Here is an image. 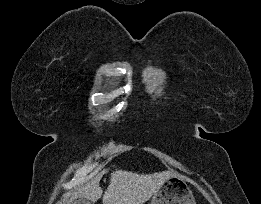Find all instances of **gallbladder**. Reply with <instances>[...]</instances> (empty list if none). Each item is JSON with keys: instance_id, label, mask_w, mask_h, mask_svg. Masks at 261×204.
Segmentation results:
<instances>
[{"instance_id": "gallbladder-1", "label": "gallbladder", "mask_w": 261, "mask_h": 204, "mask_svg": "<svg viewBox=\"0 0 261 204\" xmlns=\"http://www.w3.org/2000/svg\"><path fill=\"white\" fill-rule=\"evenodd\" d=\"M72 204H91L89 200L84 198L75 199Z\"/></svg>"}]
</instances>
